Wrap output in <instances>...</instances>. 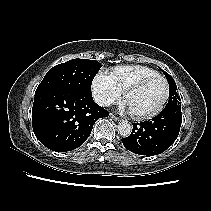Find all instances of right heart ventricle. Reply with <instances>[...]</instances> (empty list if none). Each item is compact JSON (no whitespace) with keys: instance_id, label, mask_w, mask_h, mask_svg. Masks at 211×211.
Segmentation results:
<instances>
[{"instance_id":"right-heart-ventricle-1","label":"right heart ventricle","mask_w":211,"mask_h":211,"mask_svg":"<svg viewBox=\"0 0 211 211\" xmlns=\"http://www.w3.org/2000/svg\"><path fill=\"white\" fill-rule=\"evenodd\" d=\"M111 74L122 91L145 77L160 75L156 70L143 65L117 66Z\"/></svg>"}]
</instances>
